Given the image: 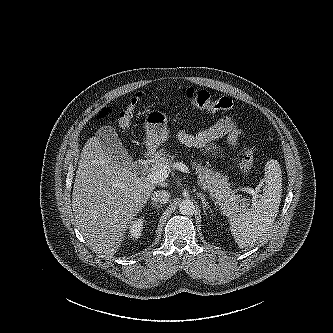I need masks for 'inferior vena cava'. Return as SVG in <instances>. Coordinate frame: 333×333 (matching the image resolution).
<instances>
[{
    "label": "inferior vena cava",
    "instance_id": "inferior-vena-cava-1",
    "mask_svg": "<svg viewBox=\"0 0 333 333\" xmlns=\"http://www.w3.org/2000/svg\"><path fill=\"white\" fill-rule=\"evenodd\" d=\"M169 198H170V193L165 190L155 191L151 196V199L154 202L160 203V204L167 203L169 201Z\"/></svg>",
    "mask_w": 333,
    "mask_h": 333
}]
</instances>
